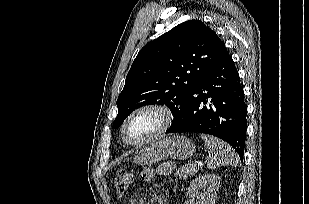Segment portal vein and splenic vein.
I'll use <instances>...</instances> for the list:
<instances>
[{"label":"portal vein and splenic vein","mask_w":309,"mask_h":204,"mask_svg":"<svg viewBox=\"0 0 309 204\" xmlns=\"http://www.w3.org/2000/svg\"><path fill=\"white\" fill-rule=\"evenodd\" d=\"M198 165L202 166V165H203V163H202V162H199V163H198Z\"/></svg>","instance_id":"portal-vein-and-splenic-vein-1"}]
</instances>
